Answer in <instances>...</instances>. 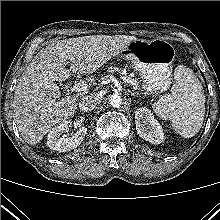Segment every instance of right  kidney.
Returning <instances> with one entry per match:
<instances>
[{
  "mask_svg": "<svg viewBox=\"0 0 220 220\" xmlns=\"http://www.w3.org/2000/svg\"><path fill=\"white\" fill-rule=\"evenodd\" d=\"M70 128V121H63L52 128L47 136L48 147L58 152H66L77 148L82 143L87 133V128L82 126L72 137H68L65 133Z\"/></svg>",
  "mask_w": 220,
  "mask_h": 220,
  "instance_id": "right-kidney-1",
  "label": "right kidney"
}]
</instances>
